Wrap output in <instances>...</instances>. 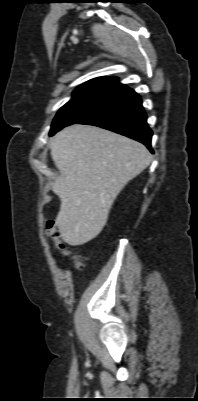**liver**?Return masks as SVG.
<instances>
[{
	"mask_svg": "<svg viewBox=\"0 0 198 401\" xmlns=\"http://www.w3.org/2000/svg\"><path fill=\"white\" fill-rule=\"evenodd\" d=\"M59 170L52 191L61 206L55 224L69 245H83L105 226L114 200L151 162L147 148L130 138L89 125L74 124L51 140Z\"/></svg>",
	"mask_w": 198,
	"mask_h": 401,
	"instance_id": "liver-1",
	"label": "liver"
}]
</instances>
